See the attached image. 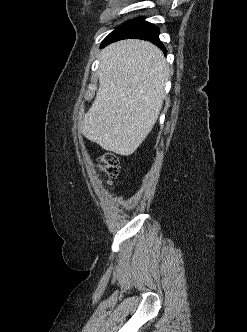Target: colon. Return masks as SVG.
I'll return each mask as SVG.
<instances>
[{"label": "colon", "instance_id": "colon-1", "mask_svg": "<svg viewBox=\"0 0 247 332\" xmlns=\"http://www.w3.org/2000/svg\"><path fill=\"white\" fill-rule=\"evenodd\" d=\"M98 166L99 169L107 176L109 182H111L118 175V159L113 153H103L98 158Z\"/></svg>", "mask_w": 247, "mask_h": 332}]
</instances>
